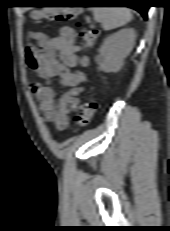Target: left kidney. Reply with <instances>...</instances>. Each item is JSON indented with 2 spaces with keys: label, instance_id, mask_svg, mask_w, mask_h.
Segmentation results:
<instances>
[{
  "label": "left kidney",
  "instance_id": "5707ae66",
  "mask_svg": "<svg viewBox=\"0 0 170 231\" xmlns=\"http://www.w3.org/2000/svg\"><path fill=\"white\" fill-rule=\"evenodd\" d=\"M136 33L132 28L121 29L107 37L96 57L99 69L103 72H118L124 59L130 54L135 43Z\"/></svg>",
  "mask_w": 170,
  "mask_h": 231
}]
</instances>
